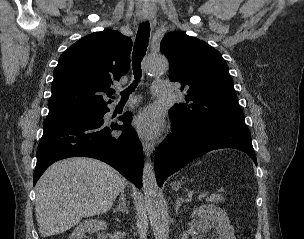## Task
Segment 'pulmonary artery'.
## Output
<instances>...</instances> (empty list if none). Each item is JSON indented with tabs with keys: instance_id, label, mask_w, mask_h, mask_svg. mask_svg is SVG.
<instances>
[{
	"instance_id": "pulmonary-artery-1",
	"label": "pulmonary artery",
	"mask_w": 304,
	"mask_h": 239,
	"mask_svg": "<svg viewBox=\"0 0 304 239\" xmlns=\"http://www.w3.org/2000/svg\"><path fill=\"white\" fill-rule=\"evenodd\" d=\"M152 93L155 97H166L171 93V88L169 83L165 81H156L153 83ZM138 102L137 98L130 99L125 106H131ZM117 104H113L112 107L115 108Z\"/></svg>"
}]
</instances>
